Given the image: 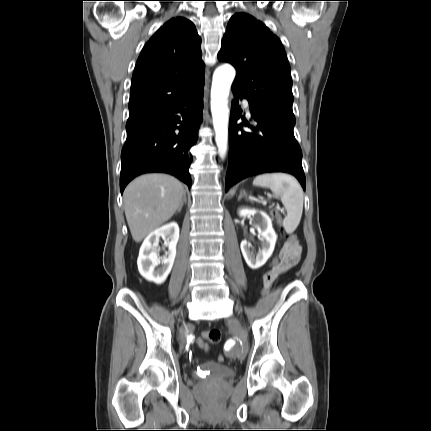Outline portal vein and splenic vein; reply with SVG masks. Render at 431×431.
I'll list each match as a JSON object with an SVG mask.
<instances>
[{
	"label": "portal vein and splenic vein",
	"mask_w": 431,
	"mask_h": 431,
	"mask_svg": "<svg viewBox=\"0 0 431 431\" xmlns=\"http://www.w3.org/2000/svg\"><path fill=\"white\" fill-rule=\"evenodd\" d=\"M262 204H264V205H265V204H266V201H262Z\"/></svg>",
	"instance_id": "1"
}]
</instances>
